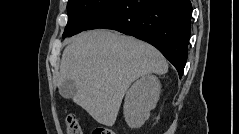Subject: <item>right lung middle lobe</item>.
<instances>
[{"label": "right lung middle lobe", "mask_w": 239, "mask_h": 134, "mask_svg": "<svg viewBox=\"0 0 239 134\" xmlns=\"http://www.w3.org/2000/svg\"><path fill=\"white\" fill-rule=\"evenodd\" d=\"M117 0H69L68 23L63 38L70 37L84 28L105 8Z\"/></svg>", "instance_id": "1"}]
</instances>
